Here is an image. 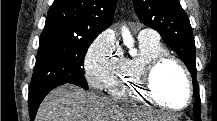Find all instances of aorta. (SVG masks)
<instances>
[{
  "instance_id": "762f6f07",
  "label": "aorta",
  "mask_w": 217,
  "mask_h": 121,
  "mask_svg": "<svg viewBox=\"0 0 217 121\" xmlns=\"http://www.w3.org/2000/svg\"><path fill=\"white\" fill-rule=\"evenodd\" d=\"M122 37H123V42H124V44H125L127 47L131 48L130 54H135V50L132 49L134 40H133V38H132V35H131L130 32L128 31V29H126L125 27L122 29Z\"/></svg>"
}]
</instances>
